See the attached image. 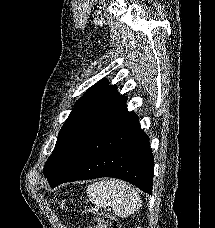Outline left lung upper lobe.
Segmentation results:
<instances>
[{
    "instance_id": "1",
    "label": "left lung upper lobe",
    "mask_w": 215,
    "mask_h": 228,
    "mask_svg": "<svg viewBox=\"0 0 215 228\" xmlns=\"http://www.w3.org/2000/svg\"><path fill=\"white\" fill-rule=\"evenodd\" d=\"M126 97L109 86L106 79L92 86L75 104L58 134L55 148L48 158L43 173L53 179L95 130L118 111Z\"/></svg>"
}]
</instances>
